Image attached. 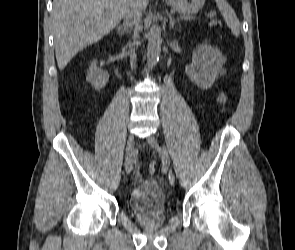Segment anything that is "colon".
Returning <instances> with one entry per match:
<instances>
[{
  "instance_id": "1",
  "label": "colon",
  "mask_w": 295,
  "mask_h": 250,
  "mask_svg": "<svg viewBox=\"0 0 295 250\" xmlns=\"http://www.w3.org/2000/svg\"><path fill=\"white\" fill-rule=\"evenodd\" d=\"M220 101H221L222 103H224V102H225V97H221ZM155 171H156V164H155V163H152V164L150 165V167H149V172H150L151 174H154Z\"/></svg>"
}]
</instances>
